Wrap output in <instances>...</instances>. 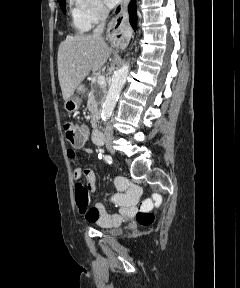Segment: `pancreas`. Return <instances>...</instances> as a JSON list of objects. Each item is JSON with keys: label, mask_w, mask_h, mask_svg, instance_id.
I'll return each mask as SVG.
<instances>
[{"label": "pancreas", "mask_w": 240, "mask_h": 288, "mask_svg": "<svg viewBox=\"0 0 240 288\" xmlns=\"http://www.w3.org/2000/svg\"><path fill=\"white\" fill-rule=\"evenodd\" d=\"M106 92H107L106 86H100L96 81L93 82L92 90L87 101V107L91 113V117L95 116L98 111L99 99L97 97V94H99L100 98L103 100L106 95Z\"/></svg>", "instance_id": "cf45deb5"}]
</instances>
